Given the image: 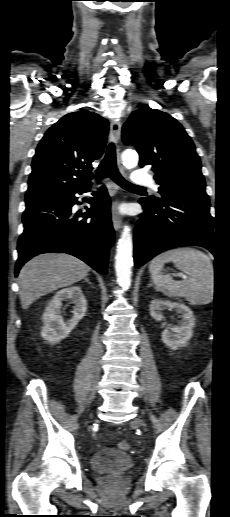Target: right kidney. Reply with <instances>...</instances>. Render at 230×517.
<instances>
[{"mask_svg":"<svg viewBox=\"0 0 230 517\" xmlns=\"http://www.w3.org/2000/svg\"><path fill=\"white\" fill-rule=\"evenodd\" d=\"M70 300L75 304L73 317L64 321L62 317V302ZM87 301L78 286L58 291L48 303L43 313V327L41 330L42 338L50 344H55L66 338L76 327L78 322L85 316Z\"/></svg>","mask_w":230,"mask_h":517,"instance_id":"ca27d5eb","label":"right kidney"}]
</instances>
